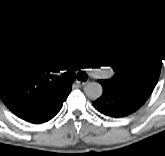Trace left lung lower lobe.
<instances>
[{"label": "left lung lower lobe", "mask_w": 165, "mask_h": 156, "mask_svg": "<svg viewBox=\"0 0 165 156\" xmlns=\"http://www.w3.org/2000/svg\"><path fill=\"white\" fill-rule=\"evenodd\" d=\"M103 87L100 98L93 102L96 110L110 117H124L137 111L145 101L122 90L111 80H98Z\"/></svg>", "instance_id": "1"}]
</instances>
